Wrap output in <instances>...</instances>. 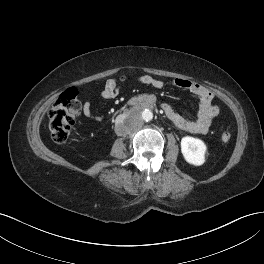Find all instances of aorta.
Here are the masks:
<instances>
[{
	"label": "aorta",
	"mask_w": 264,
	"mask_h": 264,
	"mask_svg": "<svg viewBox=\"0 0 264 264\" xmlns=\"http://www.w3.org/2000/svg\"><path fill=\"white\" fill-rule=\"evenodd\" d=\"M138 115L142 121L148 122V121H151L153 119V113L149 109H145V110L139 112Z\"/></svg>",
	"instance_id": "762f6f07"
}]
</instances>
